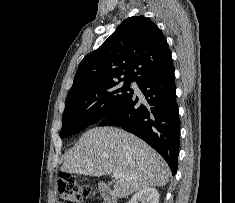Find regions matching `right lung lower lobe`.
Instances as JSON below:
<instances>
[{"instance_id":"obj_1","label":"right lung lower lobe","mask_w":235,"mask_h":203,"mask_svg":"<svg viewBox=\"0 0 235 203\" xmlns=\"http://www.w3.org/2000/svg\"><path fill=\"white\" fill-rule=\"evenodd\" d=\"M174 67L152 72L137 82L147 103L131 96L118 109L99 121V126H119L153 147L175 175L179 153V113L176 104Z\"/></svg>"}]
</instances>
